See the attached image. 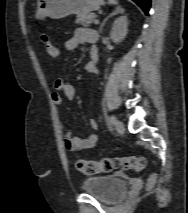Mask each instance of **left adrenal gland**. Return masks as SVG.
Returning a JSON list of instances; mask_svg holds the SVG:
<instances>
[{
  "label": "left adrenal gland",
  "instance_id": "a2214340",
  "mask_svg": "<svg viewBox=\"0 0 188 213\" xmlns=\"http://www.w3.org/2000/svg\"><path fill=\"white\" fill-rule=\"evenodd\" d=\"M123 12H124V10H123L121 7H117L107 18L104 19V21L102 22V24H101V26H100V28H99V32L102 33L103 26L105 25L106 21H107L110 17H112V16H114V15H117V14H119V13L121 14V13H123Z\"/></svg>",
  "mask_w": 188,
  "mask_h": 213
}]
</instances>
